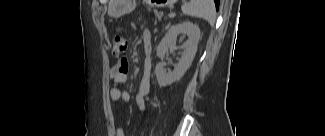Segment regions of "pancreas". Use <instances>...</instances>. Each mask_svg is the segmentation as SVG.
<instances>
[{"label":"pancreas","mask_w":325,"mask_h":136,"mask_svg":"<svg viewBox=\"0 0 325 136\" xmlns=\"http://www.w3.org/2000/svg\"><path fill=\"white\" fill-rule=\"evenodd\" d=\"M142 18L143 19H153V22L155 24L163 23V13L160 11V9H154V7H151L149 12H143Z\"/></svg>","instance_id":"obj_1"}]
</instances>
